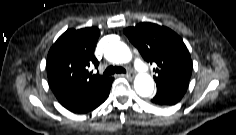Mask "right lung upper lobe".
<instances>
[{
  "label": "right lung upper lobe",
  "mask_w": 236,
  "mask_h": 135,
  "mask_svg": "<svg viewBox=\"0 0 236 135\" xmlns=\"http://www.w3.org/2000/svg\"><path fill=\"white\" fill-rule=\"evenodd\" d=\"M100 32L96 27L69 29L53 44L47 58V75L53 92L94 87L107 77L92 75L88 68H97L94 49Z\"/></svg>",
  "instance_id": "obj_1"
}]
</instances>
